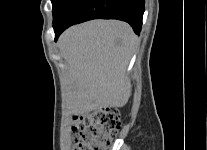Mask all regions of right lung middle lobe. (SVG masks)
<instances>
[{
  "instance_id": "1",
  "label": "right lung middle lobe",
  "mask_w": 207,
  "mask_h": 150,
  "mask_svg": "<svg viewBox=\"0 0 207 150\" xmlns=\"http://www.w3.org/2000/svg\"><path fill=\"white\" fill-rule=\"evenodd\" d=\"M70 0H51L52 2V11H53V20L58 16L61 10L66 6Z\"/></svg>"
}]
</instances>
